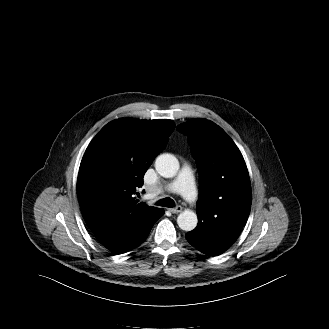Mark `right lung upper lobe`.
I'll use <instances>...</instances> for the list:
<instances>
[{"mask_svg": "<svg viewBox=\"0 0 329 329\" xmlns=\"http://www.w3.org/2000/svg\"><path fill=\"white\" fill-rule=\"evenodd\" d=\"M174 128L168 119L123 118L105 125L90 142L77 189L82 215L93 233L114 222L142 220L161 209L137 204L134 194Z\"/></svg>", "mask_w": 329, "mask_h": 329, "instance_id": "1", "label": "right lung upper lobe"}]
</instances>
